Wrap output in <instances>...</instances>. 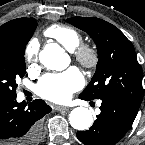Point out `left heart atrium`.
I'll list each match as a JSON object with an SVG mask.
<instances>
[{"label":"left heart atrium","mask_w":145,"mask_h":145,"mask_svg":"<svg viewBox=\"0 0 145 145\" xmlns=\"http://www.w3.org/2000/svg\"><path fill=\"white\" fill-rule=\"evenodd\" d=\"M84 79L80 71L71 67L62 73L47 74L37 85V93L54 102H66L80 89Z\"/></svg>","instance_id":"39dd6f15"}]
</instances>
